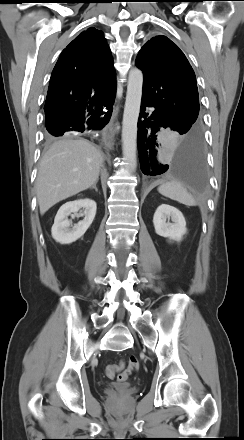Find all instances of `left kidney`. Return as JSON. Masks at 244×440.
Returning <instances> with one entry per match:
<instances>
[{"mask_svg": "<svg viewBox=\"0 0 244 440\" xmlns=\"http://www.w3.org/2000/svg\"><path fill=\"white\" fill-rule=\"evenodd\" d=\"M172 223L167 222L170 219ZM153 224L157 235L180 241L187 233L186 221L183 214L173 206L160 205L153 217Z\"/></svg>", "mask_w": 244, "mask_h": 440, "instance_id": "1", "label": "left kidney"}]
</instances>
